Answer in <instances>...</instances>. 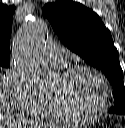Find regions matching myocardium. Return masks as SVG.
<instances>
[{
  "instance_id": "obj_1",
  "label": "myocardium",
  "mask_w": 125,
  "mask_h": 128,
  "mask_svg": "<svg viewBox=\"0 0 125 128\" xmlns=\"http://www.w3.org/2000/svg\"><path fill=\"white\" fill-rule=\"evenodd\" d=\"M81 71L90 72L100 80L104 95L103 103L100 109L95 111L94 113L81 114L68 110L56 96L50 95V100L54 106V109L64 120L68 122L86 123V122L95 121L100 117H102L107 112L110 106L111 95H110L109 83L106 77L104 76V74L100 72L98 69L86 64H77L64 70L59 77L65 80Z\"/></svg>"
}]
</instances>
